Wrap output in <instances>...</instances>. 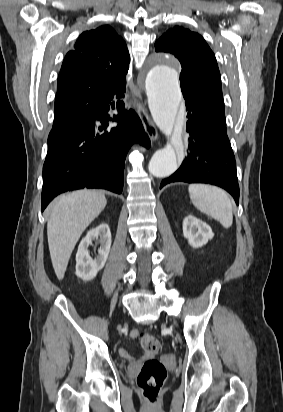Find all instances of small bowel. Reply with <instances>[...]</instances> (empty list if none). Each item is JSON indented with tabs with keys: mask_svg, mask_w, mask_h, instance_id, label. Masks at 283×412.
<instances>
[{
	"mask_svg": "<svg viewBox=\"0 0 283 412\" xmlns=\"http://www.w3.org/2000/svg\"><path fill=\"white\" fill-rule=\"evenodd\" d=\"M137 334L138 332L136 330H132L129 335L130 339L136 338ZM119 354L122 358L126 360L132 361L134 359L133 356L130 354V352L126 348H123V347L120 348Z\"/></svg>",
	"mask_w": 283,
	"mask_h": 412,
	"instance_id": "small-bowel-1",
	"label": "small bowel"
}]
</instances>
